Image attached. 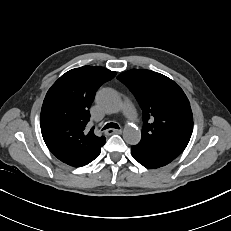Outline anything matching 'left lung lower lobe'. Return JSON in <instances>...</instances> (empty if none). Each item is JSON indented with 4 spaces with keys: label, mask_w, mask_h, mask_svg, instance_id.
<instances>
[{
    "label": "left lung lower lobe",
    "mask_w": 231,
    "mask_h": 231,
    "mask_svg": "<svg viewBox=\"0 0 231 231\" xmlns=\"http://www.w3.org/2000/svg\"><path fill=\"white\" fill-rule=\"evenodd\" d=\"M132 156L146 168H159L173 161L179 154L154 145L137 144L131 148Z\"/></svg>",
    "instance_id": "obj_1"
}]
</instances>
